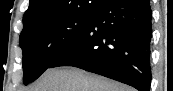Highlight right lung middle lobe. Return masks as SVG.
Here are the masks:
<instances>
[{
  "mask_svg": "<svg viewBox=\"0 0 173 91\" xmlns=\"http://www.w3.org/2000/svg\"><path fill=\"white\" fill-rule=\"evenodd\" d=\"M101 2V1H97ZM94 10L40 21L20 35L24 84L36 80L51 63L75 43L91 23Z\"/></svg>",
  "mask_w": 173,
  "mask_h": 91,
  "instance_id": "obj_1",
  "label": "right lung middle lobe"
}]
</instances>
